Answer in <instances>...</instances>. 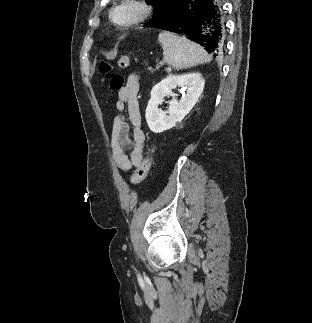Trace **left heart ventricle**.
Here are the masks:
<instances>
[{
    "label": "left heart ventricle",
    "mask_w": 312,
    "mask_h": 323,
    "mask_svg": "<svg viewBox=\"0 0 312 323\" xmlns=\"http://www.w3.org/2000/svg\"><path fill=\"white\" fill-rule=\"evenodd\" d=\"M116 13L119 18H126L127 14H137V7H117Z\"/></svg>",
    "instance_id": "left-heart-ventricle-1"
}]
</instances>
